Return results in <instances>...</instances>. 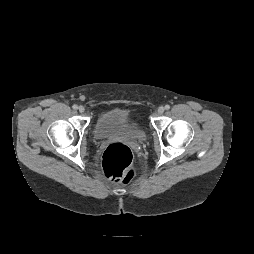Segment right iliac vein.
I'll return each mask as SVG.
<instances>
[{
  "mask_svg": "<svg viewBox=\"0 0 254 254\" xmlns=\"http://www.w3.org/2000/svg\"><path fill=\"white\" fill-rule=\"evenodd\" d=\"M78 111H79L80 113H84L85 108H84L83 106H79V107H78Z\"/></svg>",
  "mask_w": 254,
  "mask_h": 254,
  "instance_id": "63e3f726",
  "label": "right iliac vein"
}]
</instances>
